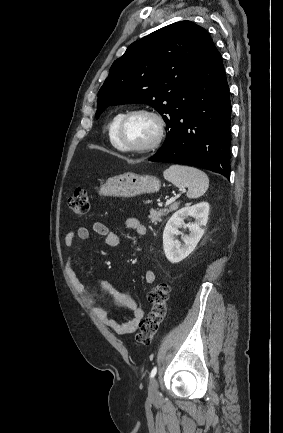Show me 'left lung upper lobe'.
I'll use <instances>...</instances> for the list:
<instances>
[{
  "mask_svg": "<svg viewBox=\"0 0 283 433\" xmlns=\"http://www.w3.org/2000/svg\"><path fill=\"white\" fill-rule=\"evenodd\" d=\"M214 47L207 31L191 21L132 43L114 61L98 92L96 118L109 105L142 103L171 124L190 107L191 84Z\"/></svg>",
  "mask_w": 283,
  "mask_h": 433,
  "instance_id": "obj_1",
  "label": "left lung upper lobe"
}]
</instances>
